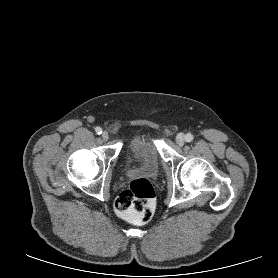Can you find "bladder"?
I'll return each mask as SVG.
<instances>
[{
  "label": "bladder",
  "instance_id": "1",
  "mask_svg": "<svg viewBox=\"0 0 278 278\" xmlns=\"http://www.w3.org/2000/svg\"><path fill=\"white\" fill-rule=\"evenodd\" d=\"M126 169L128 173L157 174L160 166V155L155 138L149 134L134 137L125 150Z\"/></svg>",
  "mask_w": 278,
  "mask_h": 278
}]
</instances>
